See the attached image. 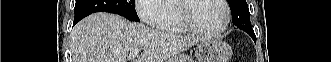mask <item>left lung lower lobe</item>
<instances>
[{"mask_svg": "<svg viewBox=\"0 0 331 62\" xmlns=\"http://www.w3.org/2000/svg\"><path fill=\"white\" fill-rule=\"evenodd\" d=\"M243 30V29H242ZM255 41H256V37H255V35L253 34H249Z\"/></svg>", "mask_w": 331, "mask_h": 62, "instance_id": "left-lung-lower-lobe-1", "label": "left lung lower lobe"}]
</instances>
